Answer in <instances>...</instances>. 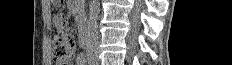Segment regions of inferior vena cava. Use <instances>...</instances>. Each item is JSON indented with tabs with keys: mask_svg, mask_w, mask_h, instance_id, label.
Masks as SVG:
<instances>
[{
	"mask_svg": "<svg viewBox=\"0 0 232 65\" xmlns=\"http://www.w3.org/2000/svg\"><path fill=\"white\" fill-rule=\"evenodd\" d=\"M99 11L98 0H91L89 3V19L87 21L86 53L88 61L98 60V25L97 17Z\"/></svg>",
	"mask_w": 232,
	"mask_h": 65,
	"instance_id": "602c4592",
	"label": "inferior vena cava"
}]
</instances>
